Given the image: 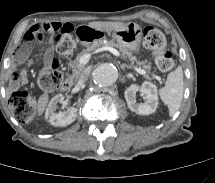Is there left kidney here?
Here are the masks:
<instances>
[{
	"mask_svg": "<svg viewBox=\"0 0 215 183\" xmlns=\"http://www.w3.org/2000/svg\"><path fill=\"white\" fill-rule=\"evenodd\" d=\"M140 91L146 102L143 104L136 103V93ZM124 96L129 109L139 115H149L155 112L158 106L157 87L148 81L143 82L141 86L132 84L128 87Z\"/></svg>",
	"mask_w": 215,
	"mask_h": 183,
	"instance_id": "left-kidney-1",
	"label": "left kidney"
}]
</instances>
